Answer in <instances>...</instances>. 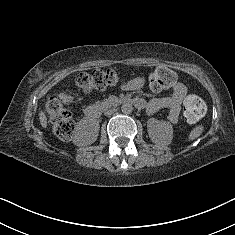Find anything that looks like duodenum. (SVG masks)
<instances>
[{
	"label": "duodenum",
	"instance_id": "410a0bca",
	"mask_svg": "<svg viewBox=\"0 0 235 235\" xmlns=\"http://www.w3.org/2000/svg\"><path fill=\"white\" fill-rule=\"evenodd\" d=\"M125 102H128V103H133L135 106L141 108L142 104L140 103V101L138 100H135V99H130V98H127L125 99ZM101 113V109L99 106L97 105H90L87 107L86 109V116L88 118H97Z\"/></svg>",
	"mask_w": 235,
	"mask_h": 235
}]
</instances>
